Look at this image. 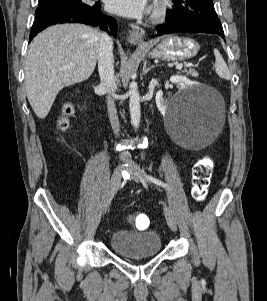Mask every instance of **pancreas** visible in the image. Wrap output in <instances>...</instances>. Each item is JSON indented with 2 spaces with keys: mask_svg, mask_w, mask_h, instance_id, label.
I'll use <instances>...</instances> for the list:
<instances>
[{
  "mask_svg": "<svg viewBox=\"0 0 267 301\" xmlns=\"http://www.w3.org/2000/svg\"><path fill=\"white\" fill-rule=\"evenodd\" d=\"M187 75H190L192 77L197 78L199 76L198 72L194 69H189L188 71H185Z\"/></svg>",
  "mask_w": 267,
  "mask_h": 301,
  "instance_id": "pancreas-1",
  "label": "pancreas"
}]
</instances>
